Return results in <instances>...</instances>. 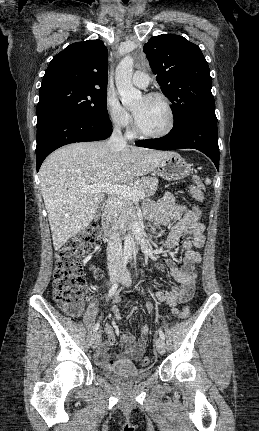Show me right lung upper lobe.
Listing matches in <instances>:
<instances>
[{"mask_svg":"<svg viewBox=\"0 0 259 431\" xmlns=\"http://www.w3.org/2000/svg\"><path fill=\"white\" fill-rule=\"evenodd\" d=\"M107 70L108 51L102 41L73 43L51 60L40 90L54 83L106 89Z\"/></svg>","mask_w":259,"mask_h":431,"instance_id":"1","label":"right lung upper lobe"}]
</instances>
